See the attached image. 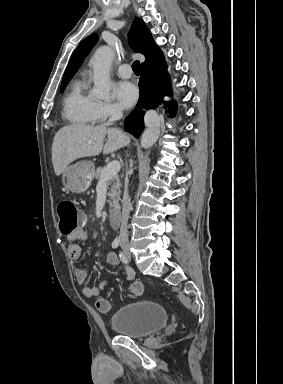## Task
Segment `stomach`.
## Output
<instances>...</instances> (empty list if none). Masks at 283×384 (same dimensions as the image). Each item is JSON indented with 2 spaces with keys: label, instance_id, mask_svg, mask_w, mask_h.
I'll use <instances>...</instances> for the list:
<instances>
[{
  "label": "stomach",
  "instance_id": "stomach-1",
  "mask_svg": "<svg viewBox=\"0 0 283 384\" xmlns=\"http://www.w3.org/2000/svg\"><path fill=\"white\" fill-rule=\"evenodd\" d=\"M95 166L93 162H77L62 172L64 188L72 194H83L88 190L94 180Z\"/></svg>",
  "mask_w": 283,
  "mask_h": 384
}]
</instances>
